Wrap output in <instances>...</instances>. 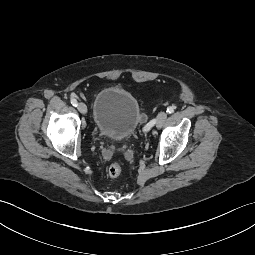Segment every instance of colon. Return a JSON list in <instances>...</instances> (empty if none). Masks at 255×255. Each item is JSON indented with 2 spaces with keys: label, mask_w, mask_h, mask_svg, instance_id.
I'll return each instance as SVG.
<instances>
[{
  "label": "colon",
  "mask_w": 255,
  "mask_h": 255,
  "mask_svg": "<svg viewBox=\"0 0 255 255\" xmlns=\"http://www.w3.org/2000/svg\"><path fill=\"white\" fill-rule=\"evenodd\" d=\"M108 176L111 178H117L122 173V166L118 162H113L109 165L107 170Z\"/></svg>",
  "instance_id": "colon-1"
}]
</instances>
